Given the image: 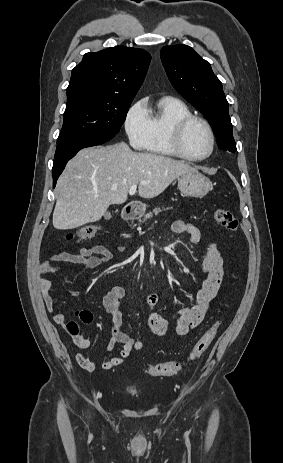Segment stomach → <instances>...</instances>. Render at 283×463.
<instances>
[{
  "mask_svg": "<svg viewBox=\"0 0 283 463\" xmlns=\"http://www.w3.org/2000/svg\"><path fill=\"white\" fill-rule=\"evenodd\" d=\"M211 186V181L198 171L182 175L178 178V189L185 196L202 198L209 192ZM145 210L146 205L140 203L135 206L133 212L135 216H140L144 214Z\"/></svg>",
  "mask_w": 283,
  "mask_h": 463,
  "instance_id": "obj_1",
  "label": "stomach"
}]
</instances>
